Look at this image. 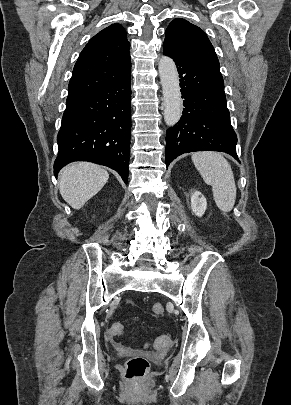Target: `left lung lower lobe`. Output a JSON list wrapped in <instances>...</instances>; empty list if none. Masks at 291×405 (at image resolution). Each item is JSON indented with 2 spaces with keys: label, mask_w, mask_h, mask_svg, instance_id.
<instances>
[{
  "label": "left lung lower lobe",
  "mask_w": 291,
  "mask_h": 405,
  "mask_svg": "<svg viewBox=\"0 0 291 405\" xmlns=\"http://www.w3.org/2000/svg\"><path fill=\"white\" fill-rule=\"evenodd\" d=\"M163 51L175 61L185 106L179 122L166 132V167L181 154L205 150L225 152L239 161L219 62L167 44Z\"/></svg>",
  "instance_id": "left-lung-lower-lobe-1"
}]
</instances>
